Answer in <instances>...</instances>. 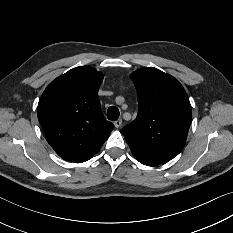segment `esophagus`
I'll list each match as a JSON object with an SVG mask.
<instances>
[{
    "label": "esophagus",
    "instance_id": "34e87169",
    "mask_svg": "<svg viewBox=\"0 0 233 233\" xmlns=\"http://www.w3.org/2000/svg\"><path fill=\"white\" fill-rule=\"evenodd\" d=\"M116 128H119L122 125V119H118L114 122Z\"/></svg>",
    "mask_w": 233,
    "mask_h": 233
}]
</instances>
